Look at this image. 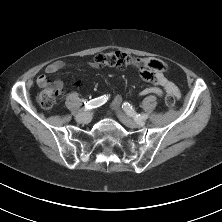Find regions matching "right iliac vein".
Wrapping results in <instances>:
<instances>
[{"mask_svg":"<svg viewBox=\"0 0 222 222\" xmlns=\"http://www.w3.org/2000/svg\"><path fill=\"white\" fill-rule=\"evenodd\" d=\"M76 121L80 123H89L92 119V115L90 112H83L76 115Z\"/></svg>","mask_w":222,"mask_h":222,"instance_id":"right-iliac-vein-1","label":"right iliac vein"}]
</instances>
